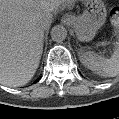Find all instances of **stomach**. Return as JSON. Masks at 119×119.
<instances>
[{"mask_svg":"<svg viewBox=\"0 0 119 119\" xmlns=\"http://www.w3.org/2000/svg\"><path fill=\"white\" fill-rule=\"evenodd\" d=\"M82 1L85 3V11L81 16L73 17L70 24L80 41L89 42L93 40L97 31L104 25L107 10L102 0Z\"/></svg>","mask_w":119,"mask_h":119,"instance_id":"stomach-1","label":"stomach"}]
</instances>
